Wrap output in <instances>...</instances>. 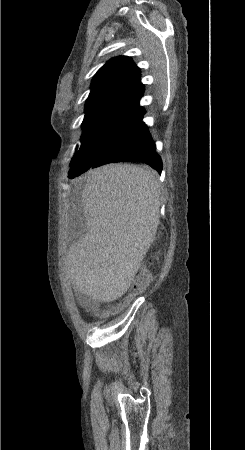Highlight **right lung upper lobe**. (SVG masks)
Masks as SVG:
<instances>
[{"label": "right lung upper lobe", "mask_w": 245, "mask_h": 450, "mask_svg": "<svg viewBox=\"0 0 245 450\" xmlns=\"http://www.w3.org/2000/svg\"><path fill=\"white\" fill-rule=\"evenodd\" d=\"M139 68L127 56L106 62L94 75L86 109L117 108L145 113L139 105L144 87L139 80Z\"/></svg>", "instance_id": "obj_1"}]
</instances>
